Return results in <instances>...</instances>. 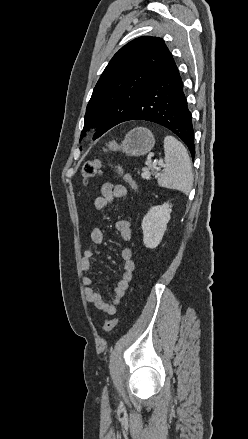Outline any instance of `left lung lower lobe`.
Listing matches in <instances>:
<instances>
[{"mask_svg":"<svg viewBox=\"0 0 248 439\" xmlns=\"http://www.w3.org/2000/svg\"><path fill=\"white\" fill-rule=\"evenodd\" d=\"M129 120H146L168 128L186 144L194 158L191 113L183 92V82L173 58L121 122Z\"/></svg>","mask_w":248,"mask_h":439,"instance_id":"obj_1","label":"left lung lower lobe"}]
</instances>
